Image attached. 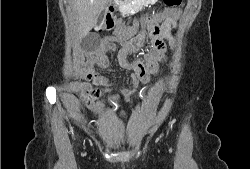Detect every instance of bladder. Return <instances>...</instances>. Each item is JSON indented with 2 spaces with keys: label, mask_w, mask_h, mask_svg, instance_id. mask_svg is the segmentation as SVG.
Wrapping results in <instances>:
<instances>
[{
  "label": "bladder",
  "mask_w": 250,
  "mask_h": 169,
  "mask_svg": "<svg viewBox=\"0 0 250 169\" xmlns=\"http://www.w3.org/2000/svg\"><path fill=\"white\" fill-rule=\"evenodd\" d=\"M109 139H111L113 142H120V137L119 136H108Z\"/></svg>",
  "instance_id": "bladder-1"
}]
</instances>
